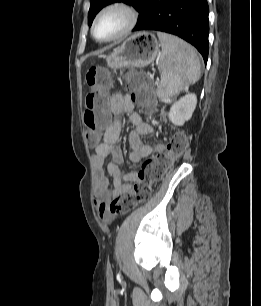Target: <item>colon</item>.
<instances>
[{
  "label": "colon",
  "mask_w": 261,
  "mask_h": 306,
  "mask_svg": "<svg viewBox=\"0 0 261 306\" xmlns=\"http://www.w3.org/2000/svg\"><path fill=\"white\" fill-rule=\"evenodd\" d=\"M127 90L133 102L148 107L154 101V93L145 75L134 69L125 72ZM89 91L85 99L84 124L92 141H96L108 126L106 113L107 95L111 87V77L101 66H93L86 74ZM187 137L182 132L175 133L165 148L156 152L140 165L136 183L131 191L123 192L109 204V213L121 216L132 211L139 203L149 199L152 186L159 182L165 173L184 153Z\"/></svg>",
  "instance_id": "obj_1"
}]
</instances>
